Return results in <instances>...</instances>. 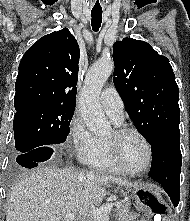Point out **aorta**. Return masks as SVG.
<instances>
[{
    "instance_id": "762f6f07",
    "label": "aorta",
    "mask_w": 190,
    "mask_h": 221,
    "mask_svg": "<svg viewBox=\"0 0 190 221\" xmlns=\"http://www.w3.org/2000/svg\"><path fill=\"white\" fill-rule=\"evenodd\" d=\"M114 69L112 60H100L93 64L86 75L81 90L79 110L87 128L96 135L106 134L110 125L105 118L101 105L100 94L104 83Z\"/></svg>"
}]
</instances>
